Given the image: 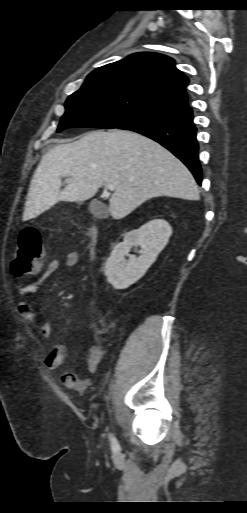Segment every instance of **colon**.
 I'll list each match as a JSON object with an SVG mask.
<instances>
[{
	"label": "colon",
	"instance_id": "5ec220e1",
	"mask_svg": "<svg viewBox=\"0 0 247 513\" xmlns=\"http://www.w3.org/2000/svg\"><path fill=\"white\" fill-rule=\"evenodd\" d=\"M42 252L39 230L34 227L24 228L18 236L16 252L11 264L13 275L22 276L37 270Z\"/></svg>",
	"mask_w": 247,
	"mask_h": 513
}]
</instances>
